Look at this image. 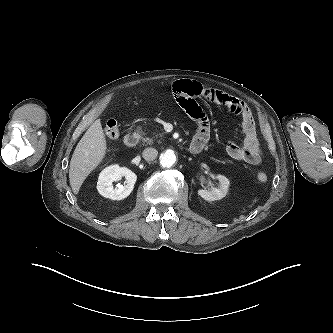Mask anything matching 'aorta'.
<instances>
[{
  "instance_id": "aorta-1",
  "label": "aorta",
  "mask_w": 333,
  "mask_h": 333,
  "mask_svg": "<svg viewBox=\"0 0 333 333\" xmlns=\"http://www.w3.org/2000/svg\"><path fill=\"white\" fill-rule=\"evenodd\" d=\"M176 162V154L173 150H166L160 157V165L162 167L170 168Z\"/></svg>"
}]
</instances>
